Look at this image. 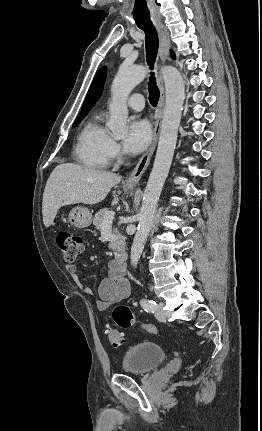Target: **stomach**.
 Segmentation results:
<instances>
[{
  "mask_svg": "<svg viewBox=\"0 0 262 431\" xmlns=\"http://www.w3.org/2000/svg\"><path fill=\"white\" fill-rule=\"evenodd\" d=\"M129 190L132 187H128ZM69 222L76 228L88 227L92 222V214L86 207L76 206L69 213Z\"/></svg>",
  "mask_w": 262,
  "mask_h": 431,
  "instance_id": "0dacf381",
  "label": "stomach"
}]
</instances>
